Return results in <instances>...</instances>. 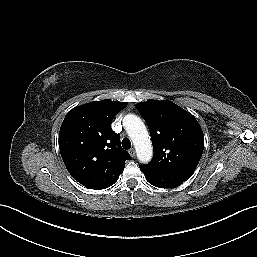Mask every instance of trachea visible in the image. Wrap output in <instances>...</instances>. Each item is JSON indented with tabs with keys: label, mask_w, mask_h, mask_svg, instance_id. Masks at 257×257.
<instances>
[{
	"label": "trachea",
	"mask_w": 257,
	"mask_h": 257,
	"mask_svg": "<svg viewBox=\"0 0 257 257\" xmlns=\"http://www.w3.org/2000/svg\"><path fill=\"white\" fill-rule=\"evenodd\" d=\"M122 147L126 150L130 149L131 148V142L128 138H124L122 140Z\"/></svg>",
	"instance_id": "obj_1"
}]
</instances>
